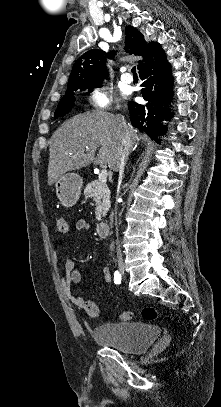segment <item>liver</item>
<instances>
[{"mask_svg": "<svg viewBox=\"0 0 221 407\" xmlns=\"http://www.w3.org/2000/svg\"><path fill=\"white\" fill-rule=\"evenodd\" d=\"M126 126L132 148L139 140L137 130ZM124 134L120 118L107 112L85 113L65 121L49 141L48 185L54 184L66 172L91 163L108 165L116 171Z\"/></svg>", "mask_w": 221, "mask_h": 407, "instance_id": "6515ba94", "label": "liver"}]
</instances>
